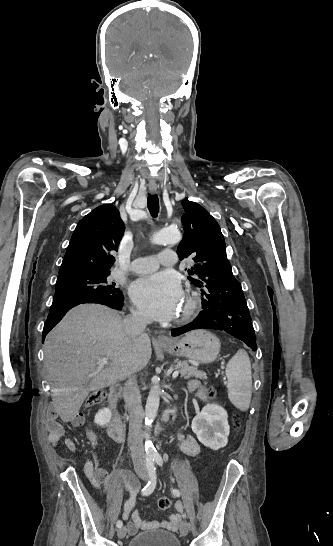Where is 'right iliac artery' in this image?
Segmentation results:
<instances>
[{
  "label": "right iliac artery",
  "instance_id": "right-iliac-artery-1",
  "mask_svg": "<svg viewBox=\"0 0 333 546\" xmlns=\"http://www.w3.org/2000/svg\"><path fill=\"white\" fill-rule=\"evenodd\" d=\"M146 466H147V471H148L150 480L148 481L147 485L142 489V495L144 496L150 495L156 487V468L154 465L153 457L146 458ZM122 525H123L122 521L118 520L116 523V526L118 528H121Z\"/></svg>",
  "mask_w": 333,
  "mask_h": 546
}]
</instances>
